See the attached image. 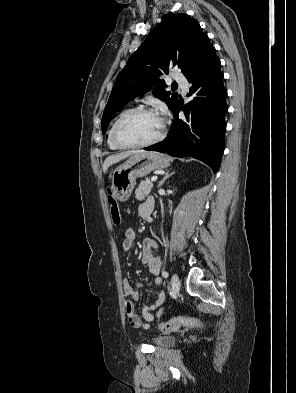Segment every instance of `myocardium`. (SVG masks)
Returning <instances> with one entry per match:
<instances>
[{
    "label": "myocardium",
    "instance_id": "1",
    "mask_svg": "<svg viewBox=\"0 0 296 393\" xmlns=\"http://www.w3.org/2000/svg\"><path fill=\"white\" fill-rule=\"evenodd\" d=\"M143 113H157L154 109L148 108V107H137L134 109L129 110L126 112L115 124L114 130H113V140L114 142L121 148L123 149H137V148H143V147H148L153 144L158 143L161 141L164 136H165V130L166 126L165 123L163 122L162 129L159 132V134L154 137L153 139L142 142V143H127L125 142L122 137H121V129L123 125L132 117L138 115V114H143Z\"/></svg>",
    "mask_w": 296,
    "mask_h": 393
}]
</instances>
